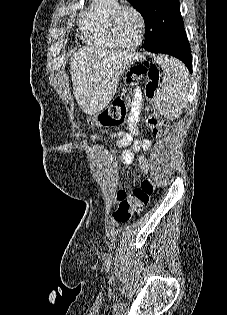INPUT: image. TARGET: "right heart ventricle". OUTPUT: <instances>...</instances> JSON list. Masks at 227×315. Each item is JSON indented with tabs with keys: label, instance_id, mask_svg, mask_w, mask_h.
Masks as SVG:
<instances>
[{
	"label": "right heart ventricle",
	"instance_id": "e07e8e85",
	"mask_svg": "<svg viewBox=\"0 0 227 315\" xmlns=\"http://www.w3.org/2000/svg\"><path fill=\"white\" fill-rule=\"evenodd\" d=\"M120 5L119 0H90L82 14L83 29L88 42L97 47L114 48L108 34L109 19Z\"/></svg>",
	"mask_w": 227,
	"mask_h": 315
}]
</instances>
